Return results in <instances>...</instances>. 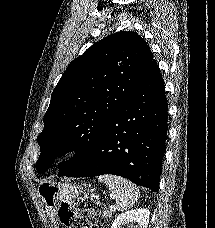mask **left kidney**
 <instances>
[{
    "instance_id": "1",
    "label": "left kidney",
    "mask_w": 215,
    "mask_h": 228,
    "mask_svg": "<svg viewBox=\"0 0 215 228\" xmlns=\"http://www.w3.org/2000/svg\"><path fill=\"white\" fill-rule=\"evenodd\" d=\"M150 212L148 208H139V210H129L117 216L111 228H147L149 222Z\"/></svg>"
}]
</instances>
